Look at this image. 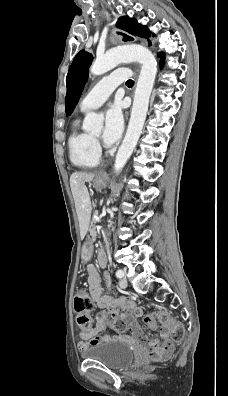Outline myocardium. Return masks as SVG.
<instances>
[{
	"mask_svg": "<svg viewBox=\"0 0 228 396\" xmlns=\"http://www.w3.org/2000/svg\"><path fill=\"white\" fill-rule=\"evenodd\" d=\"M94 139L97 140L98 138H97V137H94Z\"/></svg>",
	"mask_w": 228,
	"mask_h": 396,
	"instance_id": "obj_1",
	"label": "myocardium"
}]
</instances>
